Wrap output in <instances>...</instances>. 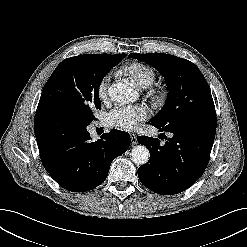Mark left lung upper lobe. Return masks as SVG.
<instances>
[{"label":"left lung upper lobe","mask_w":247,"mask_h":247,"mask_svg":"<svg viewBox=\"0 0 247 247\" xmlns=\"http://www.w3.org/2000/svg\"><path fill=\"white\" fill-rule=\"evenodd\" d=\"M156 68L165 78L168 98L151 123L164 129L183 125L216 127L217 119L211 91L198 67L186 60L163 53L129 54Z\"/></svg>","instance_id":"5c2ea615"}]
</instances>
